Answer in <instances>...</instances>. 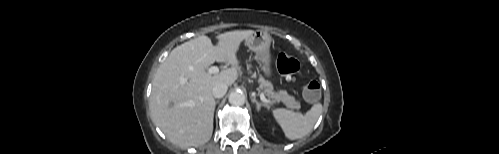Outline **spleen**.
<instances>
[{
	"label": "spleen",
	"instance_id": "3e777b00",
	"mask_svg": "<svg viewBox=\"0 0 499 154\" xmlns=\"http://www.w3.org/2000/svg\"><path fill=\"white\" fill-rule=\"evenodd\" d=\"M322 109V104L316 103L304 115L284 108L274 109L272 114L285 136L290 140H296L311 132L322 113Z\"/></svg>",
	"mask_w": 499,
	"mask_h": 154
}]
</instances>
